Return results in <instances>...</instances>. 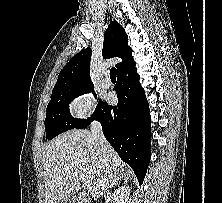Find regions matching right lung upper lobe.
<instances>
[{
	"mask_svg": "<svg viewBox=\"0 0 222 203\" xmlns=\"http://www.w3.org/2000/svg\"><path fill=\"white\" fill-rule=\"evenodd\" d=\"M91 49L86 48L77 53L60 71L52 92L92 85L90 79ZM102 54L104 58L119 57L122 62L116 64L118 73L135 65L132 49L128 46V36L123 27L112 21L104 33Z\"/></svg>",
	"mask_w": 222,
	"mask_h": 203,
	"instance_id": "1",
	"label": "right lung upper lobe"
}]
</instances>
